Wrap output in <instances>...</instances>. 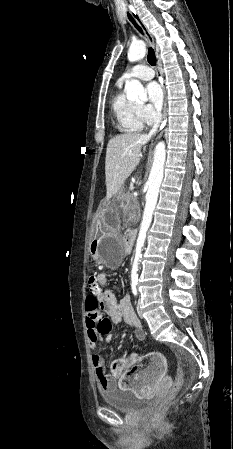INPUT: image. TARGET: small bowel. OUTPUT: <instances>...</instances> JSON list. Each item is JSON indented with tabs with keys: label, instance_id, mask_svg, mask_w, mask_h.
<instances>
[{
	"label": "small bowel",
	"instance_id": "obj_1",
	"mask_svg": "<svg viewBox=\"0 0 233 449\" xmlns=\"http://www.w3.org/2000/svg\"><path fill=\"white\" fill-rule=\"evenodd\" d=\"M110 284V278L105 273L97 274L93 272L88 276L87 289L91 296H97L99 306L106 310L109 320L112 323L125 322L132 326L135 331L136 338L143 340L144 329L134 313L129 295H123L120 300H117L115 295L108 289H105ZM88 297V296H87ZM89 347L92 350V363L98 378V384L101 390H108L114 385L120 384L125 379L130 380L131 389L133 391L134 399H155L156 394H161L162 387L161 377H165V354H150L147 368H140L139 375H130L125 368L127 362H132L136 359L134 354L125 355L122 359L115 361L112 364V373L106 372V362L104 357L100 354L98 343L104 340L109 343L111 338H102L100 334L96 333V328H87Z\"/></svg>",
	"mask_w": 233,
	"mask_h": 449
}]
</instances>
